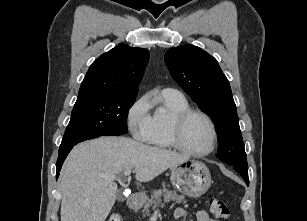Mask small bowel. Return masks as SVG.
Returning <instances> with one entry per match:
<instances>
[{
	"instance_id": "small-bowel-1",
	"label": "small bowel",
	"mask_w": 307,
	"mask_h": 221,
	"mask_svg": "<svg viewBox=\"0 0 307 221\" xmlns=\"http://www.w3.org/2000/svg\"><path fill=\"white\" fill-rule=\"evenodd\" d=\"M185 215H186V211L183 208H177L174 211V216L176 218H182ZM196 221H217V220L210 218L206 211L201 210L196 213Z\"/></svg>"
}]
</instances>
